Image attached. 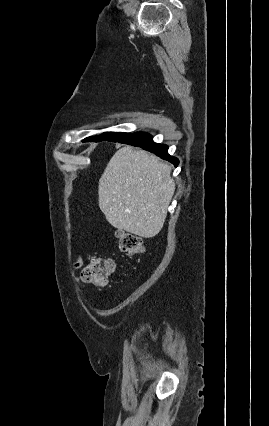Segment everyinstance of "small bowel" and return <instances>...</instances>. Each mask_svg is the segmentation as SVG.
Instances as JSON below:
<instances>
[{"instance_id": "1", "label": "small bowel", "mask_w": 269, "mask_h": 426, "mask_svg": "<svg viewBox=\"0 0 269 426\" xmlns=\"http://www.w3.org/2000/svg\"><path fill=\"white\" fill-rule=\"evenodd\" d=\"M83 258L81 255L77 256V258L74 260L73 265H72V269L73 272H75L76 270H78L79 268H81L83 266ZM74 281L77 283V285L81 288V289H86L88 288V285L78 276H76L74 274Z\"/></svg>"}]
</instances>
